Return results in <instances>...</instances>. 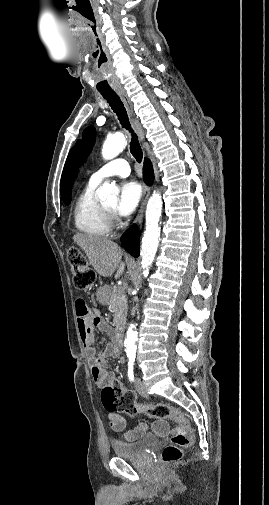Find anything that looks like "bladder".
<instances>
[{
    "mask_svg": "<svg viewBox=\"0 0 269 505\" xmlns=\"http://www.w3.org/2000/svg\"><path fill=\"white\" fill-rule=\"evenodd\" d=\"M152 435H143L133 441H115L112 443L114 455L118 458H142L147 451L157 444Z\"/></svg>",
    "mask_w": 269,
    "mask_h": 505,
    "instance_id": "bladder-1",
    "label": "bladder"
}]
</instances>
